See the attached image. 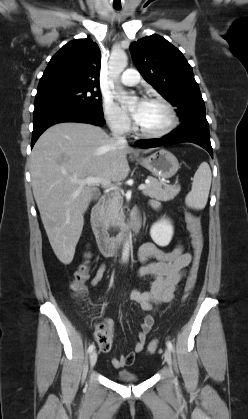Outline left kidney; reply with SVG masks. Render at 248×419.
<instances>
[{"label": "left kidney", "mask_w": 248, "mask_h": 419, "mask_svg": "<svg viewBox=\"0 0 248 419\" xmlns=\"http://www.w3.org/2000/svg\"><path fill=\"white\" fill-rule=\"evenodd\" d=\"M174 229L171 222L167 219H161L154 223L150 229L152 240L159 246H167L173 236Z\"/></svg>", "instance_id": "5707ae66"}]
</instances>
